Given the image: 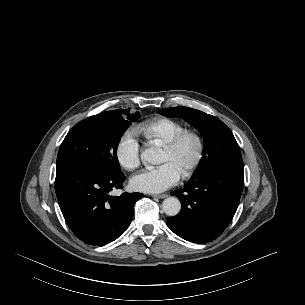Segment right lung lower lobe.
Masks as SVG:
<instances>
[{
    "label": "right lung lower lobe",
    "instance_id": "right-lung-lower-lobe-1",
    "mask_svg": "<svg viewBox=\"0 0 305 305\" xmlns=\"http://www.w3.org/2000/svg\"><path fill=\"white\" fill-rule=\"evenodd\" d=\"M125 175L86 169L56 171L55 191L65 221L80 240L103 246L117 239L129 226L134 205L143 194L110 191L123 187Z\"/></svg>",
    "mask_w": 305,
    "mask_h": 305
}]
</instances>
